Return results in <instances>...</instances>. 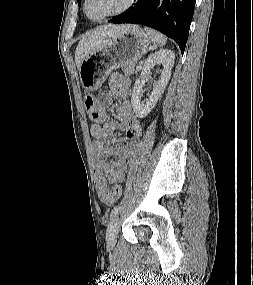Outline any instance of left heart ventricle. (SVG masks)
<instances>
[{
    "label": "left heart ventricle",
    "instance_id": "1",
    "mask_svg": "<svg viewBox=\"0 0 253 285\" xmlns=\"http://www.w3.org/2000/svg\"><path fill=\"white\" fill-rule=\"evenodd\" d=\"M127 0H88L87 13L92 18H99L121 9Z\"/></svg>",
    "mask_w": 253,
    "mask_h": 285
}]
</instances>
